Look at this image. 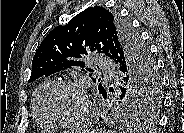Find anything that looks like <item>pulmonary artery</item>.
Wrapping results in <instances>:
<instances>
[{"label":"pulmonary artery","mask_w":184,"mask_h":133,"mask_svg":"<svg viewBox=\"0 0 184 133\" xmlns=\"http://www.w3.org/2000/svg\"><path fill=\"white\" fill-rule=\"evenodd\" d=\"M98 63H99V67L101 68V70L105 71L106 73L109 70H113L114 68L113 62L105 57H100L98 60Z\"/></svg>","instance_id":"obj_1"}]
</instances>
